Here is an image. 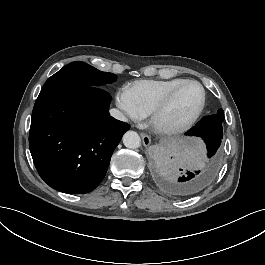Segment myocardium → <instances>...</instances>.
<instances>
[{
    "mask_svg": "<svg viewBox=\"0 0 265 265\" xmlns=\"http://www.w3.org/2000/svg\"><path fill=\"white\" fill-rule=\"evenodd\" d=\"M188 83H196L199 85L202 91V98L198 108L182 122L172 125L165 126L160 122L162 114L173 104L179 92L184 85ZM207 104V92L203 83L197 79H184L179 84H177L172 91L161 101L159 102L150 113L149 124L154 131V133L160 136H175L178 135L187 129H189L197 119L202 115Z\"/></svg>",
    "mask_w": 265,
    "mask_h": 265,
    "instance_id": "myocardium-1",
    "label": "myocardium"
}]
</instances>
